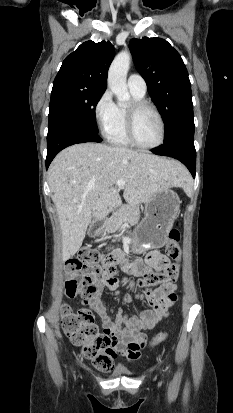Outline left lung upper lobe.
Returning a JSON list of instances; mask_svg holds the SVG:
<instances>
[{"label":"left lung upper lobe","instance_id":"1","mask_svg":"<svg viewBox=\"0 0 233 413\" xmlns=\"http://www.w3.org/2000/svg\"><path fill=\"white\" fill-rule=\"evenodd\" d=\"M137 71L165 123V144L180 135H194L191 84L180 54L164 39H132Z\"/></svg>","mask_w":233,"mask_h":413}]
</instances>
